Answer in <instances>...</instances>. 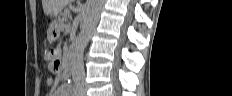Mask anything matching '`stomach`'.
Returning a JSON list of instances; mask_svg holds the SVG:
<instances>
[{"mask_svg":"<svg viewBox=\"0 0 232 96\" xmlns=\"http://www.w3.org/2000/svg\"><path fill=\"white\" fill-rule=\"evenodd\" d=\"M60 24L58 22H53L48 30V41L53 43L55 42L60 35Z\"/></svg>","mask_w":232,"mask_h":96,"instance_id":"0dacf381","label":"stomach"}]
</instances>
